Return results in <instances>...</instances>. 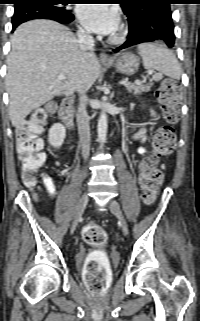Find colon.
<instances>
[{
    "mask_svg": "<svg viewBox=\"0 0 200 321\" xmlns=\"http://www.w3.org/2000/svg\"><path fill=\"white\" fill-rule=\"evenodd\" d=\"M157 98L161 105L166 125L160 127L154 134L152 150L159 158L170 155L176 146V134L173 125L179 120V98L181 88L177 81L164 79L158 89ZM54 109L52 104H47L43 109L33 112L16 132L17 152L20 158L22 178L26 186H34L35 173L45 160L42 151L43 141L39 137L47 116ZM139 181L142 187V198L146 204L154 202L158 189L163 181V173L157 166L155 158H146L141 161ZM84 241L94 247H101L107 241L105 230L95 224L88 223L82 230ZM84 281L87 287L97 295H101L108 283V265L105 256L96 251L86 260L84 266Z\"/></svg>",
    "mask_w": 200,
    "mask_h": 321,
    "instance_id": "obj_1",
    "label": "colon"
}]
</instances>
